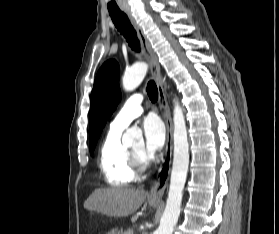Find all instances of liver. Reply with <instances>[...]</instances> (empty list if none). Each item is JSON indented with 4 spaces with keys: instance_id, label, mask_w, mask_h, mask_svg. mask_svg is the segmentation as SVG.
Here are the masks:
<instances>
[{
    "instance_id": "6515ba94",
    "label": "liver",
    "mask_w": 279,
    "mask_h": 234,
    "mask_svg": "<svg viewBox=\"0 0 279 234\" xmlns=\"http://www.w3.org/2000/svg\"><path fill=\"white\" fill-rule=\"evenodd\" d=\"M147 195L144 189L129 187L96 189L85 201L84 208L109 217H125L137 211Z\"/></svg>"
}]
</instances>
